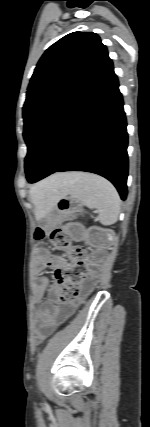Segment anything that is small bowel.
<instances>
[{"label": "small bowel", "mask_w": 150, "mask_h": 427, "mask_svg": "<svg viewBox=\"0 0 150 427\" xmlns=\"http://www.w3.org/2000/svg\"><path fill=\"white\" fill-rule=\"evenodd\" d=\"M64 264V260L61 257L50 256L46 253L38 254L34 260V270L36 273H40L45 268H60ZM49 285V279L45 276L37 277L36 286V298L40 300L43 298ZM89 287L84 288L82 291L86 293ZM74 304H69L63 309L53 313L49 305H44L38 312V326H37V340L40 341L45 337L49 336L56 325L65 320L73 311Z\"/></svg>", "instance_id": "1"}]
</instances>
